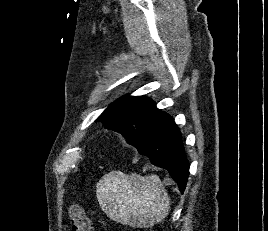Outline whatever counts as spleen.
I'll return each instance as SVG.
<instances>
[{"label":"spleen","mask_w":268,"mask_h":231,"mask_svg":"<svg viewBox=\"0 0 268 231\" xmlns=\"http://www.w3.org/2000/svg\"><path fill=\"white\" fill-rule=\"evenodd\" d=\"M96 196L110 219L134 227L153 226L170 208V198L156 174L142 177L112 171L97 183Z\"/></svg>","instance_id":"1"}]
</instances>
